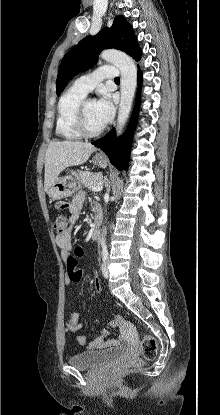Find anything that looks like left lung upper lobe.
Masks as SVG:
<instances>
[{
	"instance_id": "1",
	"label": "left lung upper lobe",
	"mask_w": 220,
	"mask_h": 415,
	"mask_svg": "<svg viewBox=\"0 0 220 415\" xmlns=\"http://www.w3.org/2000/svg\"><path fill=\"white\" fill-rule=\"evenodd\" d=\"M108 48L124 51L136 60L141 57L132 26L121 15L114 19L110 28L106 27L97 35L82 39L67 52L62 59L56 80L57 94L64 90L71 78L96 64L99 53Z\"/></svg>"
}]
</instances>
